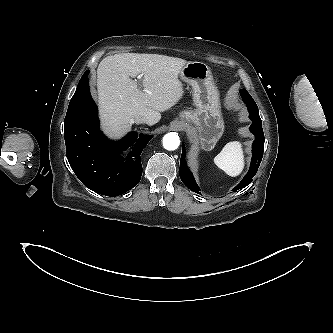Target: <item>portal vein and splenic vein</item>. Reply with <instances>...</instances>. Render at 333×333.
Segmentation results:
<instances>
[{
    "label": "portal vein and splenic vein",
    "instance_id": "obj_1",
    "mask_svg": "<svg viewBox=\"0 0 333 333\" xmlns=\"http://www.w3.org/2000/svg\"><path fill=\"white\" fill-rule=\"evenodd\" d=\"M142 76H143V74H140V75L138 76V79H140ZM135 82L137 83V80H135Z\"/></svg>",
    "mask_w": 333,
    "mask_h": 333
}]
</instances>
